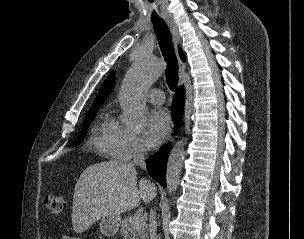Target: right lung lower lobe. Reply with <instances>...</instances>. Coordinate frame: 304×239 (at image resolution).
Instances as JSON below:
<instances>
[{
	"label": "right lung lower lobe",
	"mask_w": 304,
	"mask_h": 239,
	"mask_svg": "<svg viewBox=\"0 0 304 239\" xmlns=\"http://www.w3.org/2000/svg\"><path fill=\"white\" fill-rule=\"evenodd\" d=\"M184 109V88L179 87L175 93L172 102L171 115L176 123V129L178 128ZM170 151V144L162 147L159 153H156L148 158L146 162L147 170L150 176L159 182L163 187H166V164L168 160V154Z\"/></svg>",
	"instance_id": "1"
}]
</instances>
